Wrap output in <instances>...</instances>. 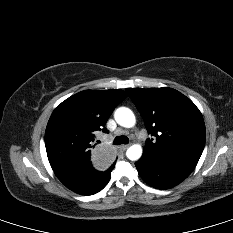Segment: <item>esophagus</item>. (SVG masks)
<instances>
[{
  "label": "esophagus",
  "instance_id": "obj_1",
  "mask_svg": "<svg viewBox=\"0 0 233 233\" xmlns=\"http://www.w3.org/2000/svg\"><path fill=\"white\" fill-rule=\"evenodd\" d=\"M128 147H129V145H121V146L119 147V150H120V151H125Z\"/></svg>",
  "mask_w": 233,
  "mask_h": 233
}]
</instances>
